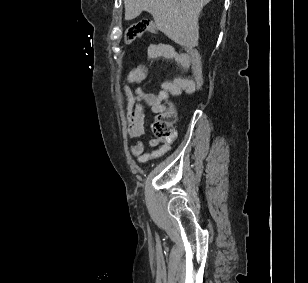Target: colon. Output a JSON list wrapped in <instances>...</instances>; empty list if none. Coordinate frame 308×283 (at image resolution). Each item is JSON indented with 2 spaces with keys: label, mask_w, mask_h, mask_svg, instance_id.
<instances>
[{
  "label": "colon",
  "mask_w": 308,
  "mask_h": 283,
  "mask_svg": "<svg viewBox=\"0 0 308 283\" xmlns=\"http://www.w3.org/2000/svg\"><path fill=\"white\" fill-rule=\"evenodd\" d=\"M146 32L159 33L157 26L149 20H141L129 26L124 33V42L131 43ZM187 51L191 57V85L188 93H195L202 86L204 80L202 57L199 50L195 47H187ZM175 109L172 105L164 106L153 123L151 131L153 135L162 141H172L176 136L174 129Z\"/></svg>",
  "instance_id": "obj_1"
}]
</instances>
